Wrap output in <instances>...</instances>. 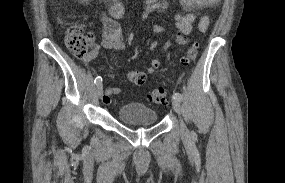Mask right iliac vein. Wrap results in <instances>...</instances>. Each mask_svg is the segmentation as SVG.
<instances>
[{"instance_id":"right-iliac-vein-1","label":"right iliac vein","mask_w":285,"mask_h":183,"mask_svg":"<svg viewBox=\"0 0 285 183\" xmlns=\"http://www.w3.org/2000/svg\"><path fill=\"white\" fill-rule=\"evenodd\" d=\"M96 92H97V95L101 98L102 94H103L102 84L101 83L96 84Z\"/></svg>"}]
</instances>
